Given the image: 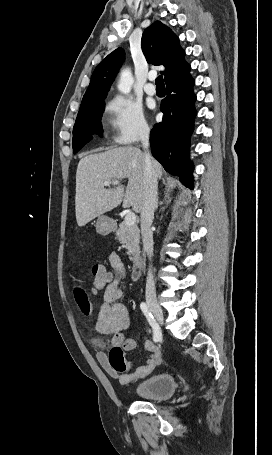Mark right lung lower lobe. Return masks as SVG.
<instances>
[{
	"label": "right lung lower lobe",
	"mask_w": 272,
	"mask_h": 455,
	"mask_svg": "<svg viewBox=\"0 0 272 455\" xmlns=\"http://www.w3.org/2000/svg\"><path fill=\"white\" fill-rule=\"evenodd\" d=\"M193 86L190 72L166 84L167 96L160 105L163 120L154 125L150 134L153 156L167 172L179 176L189 188L193 186L189 138L196 116Z\"/></svg>",
	"instance_id": "98d812e1"
}]
</instances>
